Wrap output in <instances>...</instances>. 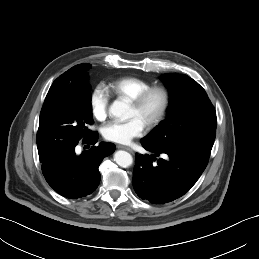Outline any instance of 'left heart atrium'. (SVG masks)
<instances>
[{"label":"left heart atrium","instance_id":"39dd6f15","mask_svg":"<svg viewBox=\"0 0 259 259\" xmlns=\"http://www.w3.org/2000/svg\"><path fill=\"white\" fill-rule=\"evenodd\" d=\"M146 125L137 117H132L126 121H113L103 127L105 139L119 143L128 144L134 138L141 136Z\"/></svg>","mask_w":259,"mask_h":259}]
</instances>
